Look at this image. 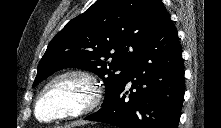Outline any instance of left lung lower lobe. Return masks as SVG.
Instances as JSON below:
<instances>
[{
	"label": "left lung lower lobe",
	"mask_w": 221,
	"mask_h": 128,
	"mask_svg": "<svg viewBox=\"0 0 221 128\" xmlns=\"http://www.w3.org/2000/svg\"><path fill=\"white\" fill-rule=\"evenodd\" d=\"M184 83L178 32L168 16L133 58L124 85L85 120L117 128H178Z\"/></svg>",
	"instance_id": "1"
}]
</instances>
